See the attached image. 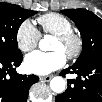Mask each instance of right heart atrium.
Masks as SVG:
<instances>
[{
	"instance_id": "d8ad5b80",
	"label": "right heart atrium",
	"mask_w": 102,
	"mask_h": 102,
	"mask_svg": "<svg viewBox=\"0 0 102 102\" xmlns=\"http://www.w3.org/2000/svg\"><path fill=\"white\" fill-rule=\"evenodd\" d=\"M15 39L19 49L28 52L37 46L40 32L30 19H25L17 27Z\"/></svg>"
}]
</instances>
